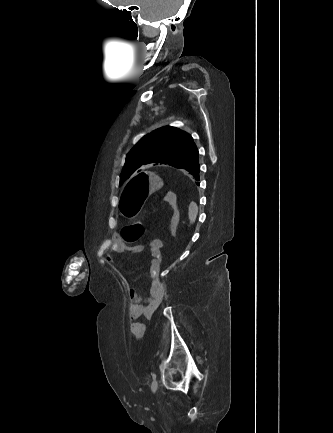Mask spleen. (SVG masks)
Segmentation results:
<instances>
[{"mask_svg": "<svg viewBox=\"0 0 333 433\" xmlns=\"http://www.w3.org/2000/svg\"><path fill=\"white\" fill-rule=\"evenodd\" d=\"M197 215H198V206L195 203H192L189 209V218L191 224H193L196 221Z\"/></svg>", "mask_w": 333, "mask_h": 433, "instance_id": "spleen-1", "label": "spleen"}]
</instances>
